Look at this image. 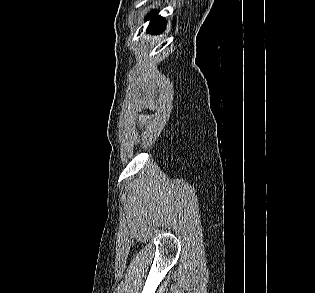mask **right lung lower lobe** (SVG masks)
Returning a JSON list of instances; mask_svg holds the SVG:
<instances>
[{
    "label": "right lung lower lobe",
    "instance_id": "1",
    "mask_svg": "<svg viewBox=\"0 0 315 293\" xmlns=\"http://www.w3.org/2000/svg\"><path fill=\"white\" fill-rule=\"evenodd\" d=\"M157 14V11H152L146 18L147 20H151L147 29L151 34H159L165 29L166 21Z\"/></svg>",
    "mask_w": 315,
    "mask_h": 293
}]
</instances>
